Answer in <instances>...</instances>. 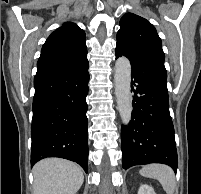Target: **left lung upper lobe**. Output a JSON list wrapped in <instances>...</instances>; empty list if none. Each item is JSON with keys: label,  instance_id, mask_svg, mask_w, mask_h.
I'll list each match as a JSON object with an SVG mask.
<instances>
[{"label": "left lung upper lobe", "instance_id": "1", "mask_svg": "<svg viewBox=\"0 0 201 194\" xmlns=\"http://www.w3.org/2000/svg\"><path fill=\"white\" fill-rule=\"evenodd\" d=\"M116 50L131 61L154 64L165 69V55L156 29L136 14L127 13L121 18Z\"/></svg>", "mask_w": 201, "mask_h": 194}]
</instances>
